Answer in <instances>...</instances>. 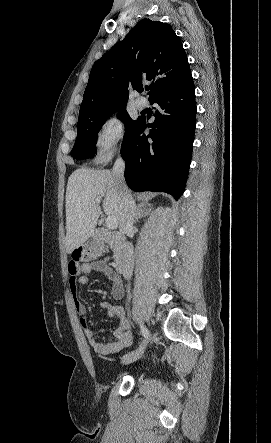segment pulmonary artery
I'll list each match as a JSON object with an SVG mask.
<instances>
[{"label": "pulmonary artery", "mask_w": 271, "mask_h": 443, "mask_svg": "<svg viewBox=\"0 0 271 443\" xmlns=\"http://www.w3.org/2000/svg\"><path fill=\"white\" fill-rule=\"evenodd\" d=\"M148 101L144 96H137L135 99V106L138 110H144L148 107Z\"/></svg>", "instance_id": "e3ab8cb5"}]
</instances>
